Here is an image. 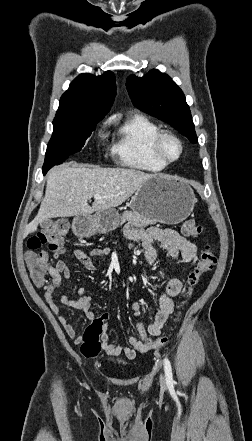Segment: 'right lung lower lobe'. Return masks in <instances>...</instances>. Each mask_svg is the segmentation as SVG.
Returning <instances> with one entry per match:
<instances>
[{
    "label": "right lung lower lobe",
    "instance_id": "right-lung-lower-lobe-1",
    "mask_svg": "<svg viewBox=\"0 0 252 441\" xmlns=\"http://www.w3.org/2000/svg\"><path fill=\"white\" fill-rule=\"evenodd\" d=\"M47 171L46 170H43V173L45 174Z\"/></svg>",
    "mask_w": 252,
    "mask_h": 441
}]
</instances>
